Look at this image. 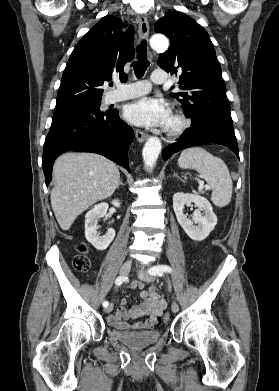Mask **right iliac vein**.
Segmentation results:
<instances>
[{"label": "right iliac vein", "instance_id": "right-iliac-vein-1", "mask_svg": "<svg viewBox=\"0 0 279 391\" xmlns=\"http://www.w3.org/2000/svg\"><path fill=\"white\" fill-rule=\"evenodd\" d=\"M131 266H132L131 260L125 261L120 268V274L122 276H126L129 273ZM112 309H113V304H110L109 306L105 307L104 312L109 313L112 311Z\"/></svg>", "mask_w": 279, "mask_h": 391}]
</instances>
